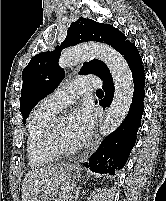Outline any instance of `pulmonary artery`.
<instances>
[{
    "instance_id": "obj_1",
    "label": "pulmonary artery",
    "mask_w": 166,
    "mask_h": 201,
    "mask_svg": "<svg viewBox=\"0 0 166 201\" xmlns=\"http://www.w3.org/2000/svg\"><path fill=\"white\" fill-rule=\"evenodd\" d=\"M101 86L102 83L97 78L88 77L77 79L56 90L44 99L42 105L58 112L72 104L82 93L88 90L98 89Z\"/></svg>"
}]
</instances>
